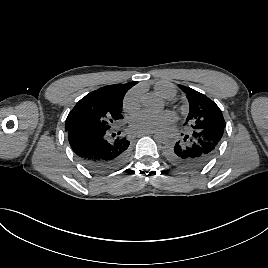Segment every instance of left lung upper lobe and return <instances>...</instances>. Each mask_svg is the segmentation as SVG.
I'll use <instances>...</instances> for the list:
<instances>
[{
    "label": "left lung upper lobe",
    "instance_id": "left-lung-upper-lobe-1",
    "mask_svg": "<svg viewBox=\"0 0 268 268\" xmlns=\"http://www.w3.org/2000/svg\"><path fill=\"white\" fill-rule=\"evenodd\" d=\"M179 87L186 93L190 105L184 125L188 126L191 131L225 127L222 112L215 102L194 89L183 85H179Z\"/></svg>",
    "mask_w": 268,
    "mask_h": 268
}]
</instances>
